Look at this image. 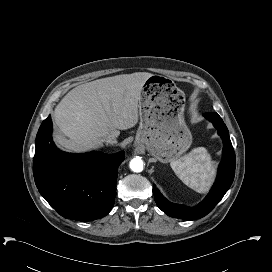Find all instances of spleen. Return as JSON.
<instances>
[{
  "label": "spleen",
  "mask_w": 272,
  "mask_h": 272,
  "mask_svg": "<svg viewBox=\"0 0 272 272\" xmlns=\"http://www.w3.org/2000/svg\"><path fill=\"white\" fill-rule=\"evenodd\" d=\"M171 168L177 177L188 187L205 193L212 184L215 168L206 148H194L190 153L173 159Z\"/></svg>",
  "instance_id": "1"
}]
</instances>
